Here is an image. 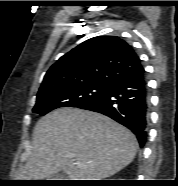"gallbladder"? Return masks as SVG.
Segmentation results:
<instances>
[{"mask_svg": "<svg viewBox=\"0 0 178 186\" xmlns=\"http://www.w3.org/2000/svg\"><path fill=\"white\" fill-rule=\"evenodd\" d=\"M63 177H64L63 174L57 173V174L52 175V176L50 177V180H60V179H62Z\"/></svg>", "mask_w": 178, "mask_h": 186, "instance_id": "1", "label": "gallbladder"}]
</instances>
